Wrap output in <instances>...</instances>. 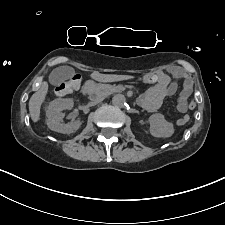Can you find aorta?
Returning <instances> with one entry per match:
<instances>
[{"mask_svg":"<svg viewBox=\"0 0 225 225\" xmlns=\"http://www.w3.org/2000/svg\"><path fill=\"white\" fill-rule=\"evenodd\" d=\"M126 102V98L123 94H116L112 98V104L116 107H122Z\"/></svg>","mask_w":225,"mask_h":225,"instance_id":"1","label":"aorta"}]
</instances>
